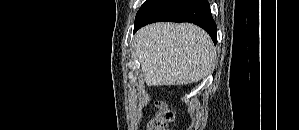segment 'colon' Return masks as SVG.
<instances>
[{
	"label": "colon",
	"instance_id": "colon-1",
	"mask_svg": "<svg viewBox=\"0 0 299 130\" xmlns=\"http://www.w3.org/2000/svg\"><path fill=\"white\" fill-rule=\"evenodd\" d=\"M158 111L149 123V130H167L169 124L174 120L173 110L163 102L157 104Z\"/></svg>",
	"mask_w": 299,
	"mask_h": 130
}]
</instances>
